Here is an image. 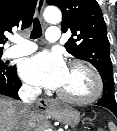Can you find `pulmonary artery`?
<instances>
[{
    "instance_id": "1",
    "label": "pulmonary artery",
    "mask_w": 117,
    "mask_h": 131,
    "mask_svg": "<svg viewBox=\"0 0 117 131\" xmlns=\"http://www.w3.org/2000/svg\"><path fill=\"white\" fill-rule=\"evenodd\" d=\"M59 37H60V30L58 27L52 26L48 28L46 33V39L49 42H56L59 40ZM13 41L16 43V45L11 47L7 51V55L9 57H19V56L28 55L33 53L37 49V46L34 43L25 40L21 37L14 38Z\"/></svg>"
}]
</instances>
